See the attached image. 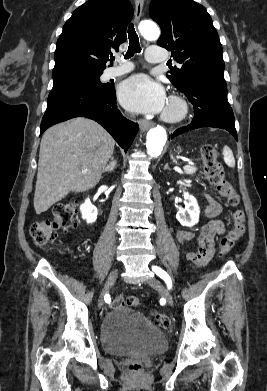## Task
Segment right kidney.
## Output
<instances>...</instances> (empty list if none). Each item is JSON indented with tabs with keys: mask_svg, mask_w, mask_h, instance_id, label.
I'll list each match as a JSON object with an SVG mask.
<instances>
[{
	"mask_svg": "<svg viewBox=\"0 0 267 391\" xmlns=\"http://www.w3.org/2000/svg\"><path fill=\"white\" fill-rule=\"evenodd\" d=\"M82 213V218L87 221V223H94L97 219V208L92 205L89 198H87L84 203L80 206Z\"/></svg>",
	"mask_w": 267,
	"mask_h": 391,
	"instance_id": "right-kidney-1",
	"label": "right kidney"
}]
</instances>
